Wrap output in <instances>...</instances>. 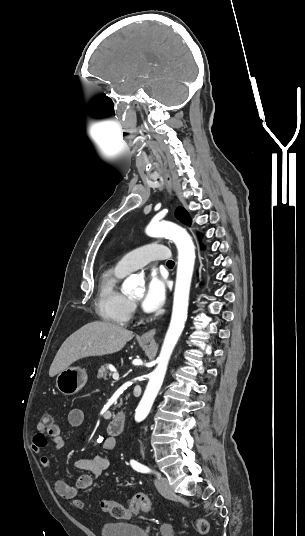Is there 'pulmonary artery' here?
I'll return each mask as SVG.
<instances>
[{
	"label": "pulmonary artery",
	"mask_w": 305,
	"mask_h": 536,
	"mask_svg": "<svg viewBox=\"0 0 305 536\" xmlns=\"http://www.w3.org/2000/svg\"><path fill=\"white\" fill-rule=\"evenodd\" d=\"M172 253L164 244H159L153 240L150 244L137 248L123 256L116 264V268L128 274L138 268H141L154 260H170Z\"/></svg>",
	"instance_id": "1"
}]
</instances>
